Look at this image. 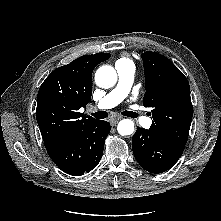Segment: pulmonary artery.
<instances>
[{
	"label": "pulmonary artery",
	"mask_w": 221,
	"mask_h": 221,
	"mask_svg": "<svg viewBox=\"0 0 221 221\" xmlns=\"http://www.w3.org/2000/svg\"><path fill=\"white\" fill-rule=\"evenodd\" d=\"M115 67L118 74V83L114 89L98 102L97 108L100 110H108L118 105L130 92L135 73L134 66L132 64H118ZM139 122L146 127L152 124V120L148 117H141Z\"/></svg>",
	"instance_id": "1"
}]
</instances>
